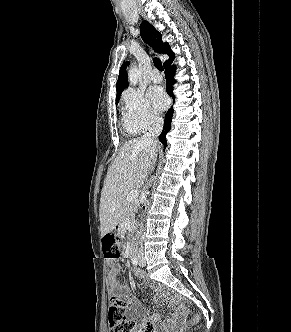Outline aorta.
Returning <instances> with one entry per match:
<instances>
[{
	"label": "aorta",
	"instance_id": "762f6f07",
	"mask_svg": "<svg viewBox=\"0 0 291 332\" xmlns=\"http://www.w3.org/2000/svg\"><path fill=\"white\" fill-rule=\"evenodd\" d=\"M142 77V71L135 65L128 69V80L131 85H136Z\"/></svg>",
	"mask_w": 291,
	"mask_h": 332
}]
</instances>
